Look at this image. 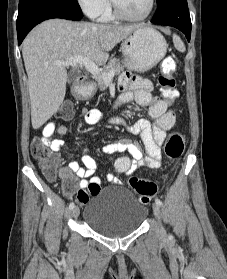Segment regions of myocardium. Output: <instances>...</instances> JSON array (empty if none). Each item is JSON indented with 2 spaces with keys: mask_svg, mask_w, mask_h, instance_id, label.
<instances>
[{
  "mask_svg": "<svg viewBox=\"0 0 227 279\" xmlns=\"http://www.w3.org/2000/svg\"><path fill=\"white\" fill-rule=\"evenodd\" d=\"M110 2H111V7H112L114 15L120 19H124V20H128V21L145 20L152 14V12L155 8V0H149L148 9L144 14H142L140 16H132V15L127 14L125 11H123V9L117 4L116 0H110Z\"/></svg>",
  "mask_w": 227,
  "mask_h": 279,
  "instance_id": "obj_1",
  "label": "myocardium"
}]
</instances>
